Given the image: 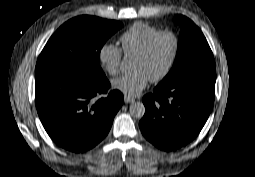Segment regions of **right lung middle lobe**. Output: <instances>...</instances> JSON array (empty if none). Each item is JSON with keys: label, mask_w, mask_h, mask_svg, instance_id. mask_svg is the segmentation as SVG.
<instances>
[{"label": "right lung middle lobe", "mask_w": 255, "mask_h": 177, "mask_svg": "<svg viewBox=\"0 0 255 177\" xmlns=\"http://www.w3.org/2000/svg\"><path fill=\"white\" fill-rule=\"evenodd\" d=\"M122 23L93 16H79L64 23L49 39L35 68V78L63 73L74 76L103 75L100 51Z\"/></svg>", "instance_id": "dd1d6c3e"}]
</instances>
